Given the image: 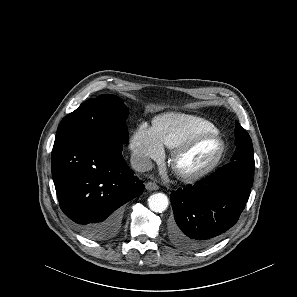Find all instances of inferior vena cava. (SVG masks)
I'll return each instance as SVG.
<instances>
[{
	"instance_id": "1",
	"label": "inferior vena cava",
	"mask_w": 297,
	"mask_h": 297,
	"mask_svg": "<svg viewBox=\"0 0 297 297\" xmlns=\"http://www.w3.org/2000/svg\"><path fill=\"white\" fill-rule=\"evenodd\" d=\"M132 168L138 172H146L152 169V161L144 156L132 155L130 159Z\"/></svg>"
}]
</instances>
